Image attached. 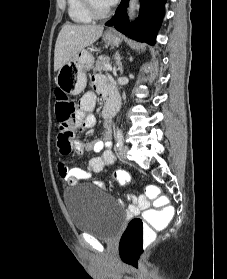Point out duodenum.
<instances>
[{"instance_id": "obj_1", "label": "duodenum", "mask_w": 227, "mask_h": 279, "mask_svg": "<svg viewBox=\"0 0 227 279\" xmlns=\"http://www.w3.org/2000/svg\"><path fill=\"white\" fill-rule=\"evenodd\" d=\"M118 110V104L115 100H108L104 106L103 115L110 119Z\"/></svg>"}]
</instances>
